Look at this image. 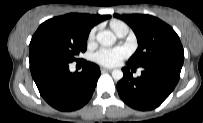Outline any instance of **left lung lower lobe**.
<instances>
[{
    "label": "left lung lower lobe",
    "instance_id": "1",
    "mask_svg": "<svg viewBox=\"0 0 203 123\" xmlns=\"http://www.w3.org/2000/svg\"><path fill=\"white\" fill-rule=\"evenodd\" d=\"M129 68L136 67L127 63ZM144 71L133 78L128 68H123L124 76L117 83L121 99L137 110H152L158 107L173 91L180 78L182 65L154 63L142 66Z\"/></svg>",
    "mask_w": 203,
    "mask_h": 123
}]
</instances>
